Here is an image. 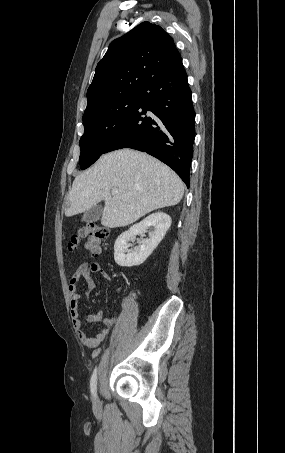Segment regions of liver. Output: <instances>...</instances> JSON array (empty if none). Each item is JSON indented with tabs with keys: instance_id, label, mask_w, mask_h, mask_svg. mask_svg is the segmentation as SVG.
<instances>
[{
	"instance_id": "obj_1",
	"label": "liver",
	"mask_w": 285,
	"mask_h": 453,
	"mask_svg": "<svg viewBox=\"0 0 285 453\" xmlns=\"http://www.w3.org/2000/svg\"><path fill=\"white\" fill-rule=\"evenodd\" d=\"M113 188L117 194L111 193ZM183 194L182 180L168 166L125 148L104 154L75 178L64 212L71 217L103 200L101 224L123 227L153 210L178 204Z\"/></svg>"
}]
</instances>
